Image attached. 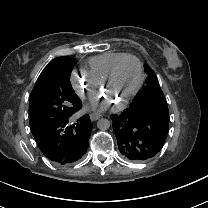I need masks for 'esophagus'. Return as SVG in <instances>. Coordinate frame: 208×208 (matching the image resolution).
I'll list each match as a JSON object with an SVG mask.
<instances>
[{"label":"esophagus","mask_w":208,"mask_h":208,"mask_svg":"<svg viewBox=\"0 0 208 208\" xmlns=\"http://www.w3.org/2000/svg\"><path fill=\"white\" fill-rule=\"evenodd\" d=\"M101 117V115L96 114V113H92L90 114V118L92 121H96L97 119H99Z\"/></svg>","instance_id":"1"}]
</instances>
